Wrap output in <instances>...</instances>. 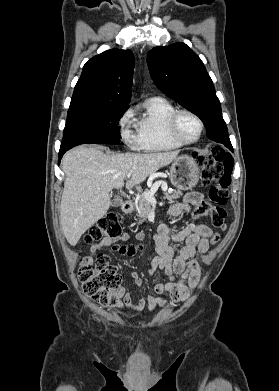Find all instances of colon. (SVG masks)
Masks as SVG:
<instances>
[{
    "label": "colon",
    "mask_w": 279,
    "mask_h": 391,
    "mask_svg": "<svg viewBox=\"0 0 279 391\" xmlns=\"http://www.w3.org/2000/svg\"><path fill=\"white\" fill-rule=\"evenodd\" d=\"M197 163L201 167L203 184L209 186L208 202L199 204L194 212L196 217L210 216L214 227L224 230L226 210L224 206L228 202L229 187L231 184V172L233 167L232 157L218 146L211 147L207 152L195 154ZM120 216L115 211L106 213L89 230L85 240L87 243L105 240L115 243L121 235ZM219 235L214 233L210 242L216 244ZM114 250L122 255H134L142 249L141 244L120 245L115 243ZM78 279L82 284L84 293L96 303L103 306H115L118 301V293L121 288L120 275L110 264L106 255H98L93 265H84L78 270Z\"/></svg>",
    "instance_id": "5ec220e1"
}]
</instances>
